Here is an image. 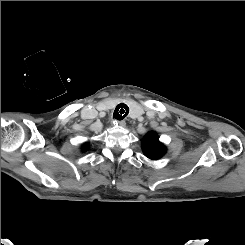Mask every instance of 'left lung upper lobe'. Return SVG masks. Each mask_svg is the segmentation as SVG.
I'll return each mask as SVG.
<instances>
[{"mask_svg": "<svg viewBox=\"0 0 245 245\" xmlns=\"http://www.w3.org/2000/svg\"><path fill=\"white\" fill-rule=\"evenodd\" d=\"M142 150L145 156L152 160H157L166 153L165 145L159 141L155 132H150L143 138Z\"/></svg>", "mask_w": 245, "mask_h": 245, "instance_id": "5c2ea615", "label": "left lung upper lobe"}]
</instances>
